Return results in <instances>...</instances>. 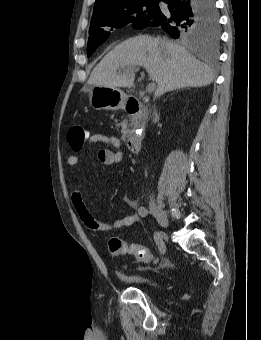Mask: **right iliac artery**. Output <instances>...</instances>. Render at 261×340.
Instances as JSON below:
<instances>
[{
  "label": "right iliac artery",
  "instance_id": "obj_1",
  "mask_svg": "<svg viewBox=\"0 0 261 340\" xmlns=\"http://www.w3.org/2000/svg\"><path fill=\"white\" fill-rule=\"evenodd\" d=\"M138 212L140 214L141 217H146L148 215V210L146 207L144 206H141L139 209H138ZM154 240H155V243L156 245L158 246L159 248V251L161 254H164L165 252V244H164V241L162 239V235L161 233L159 232H155L154 233Z\"/></svg>",
  "mask_w": 261,
  "mask_h": 340
}]
</instances>
